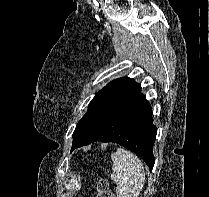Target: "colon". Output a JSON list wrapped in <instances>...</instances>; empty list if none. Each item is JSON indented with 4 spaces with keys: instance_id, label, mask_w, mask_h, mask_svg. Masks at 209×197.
<instances>
[{
    "instance_id": "1",
    "label": "colon",
    "mask_w": 209,
    "mask_h": 197,
    "mask_svg": "<svg viewBox=\"0 0 209 197\" xmlns=\"http://www.w3.org/2000/svg\"><path fill=\"white\" fill-rule=\"evenodd\" d=\"M96 197H114L106 180H99Z\"/></svg>"
}]
</instances>
